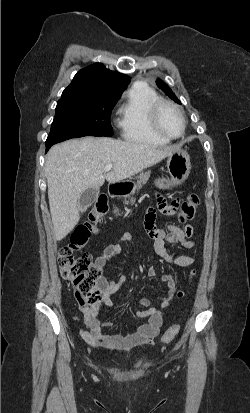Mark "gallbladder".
<instances>
[{
    "label": "gallbladder",
    "mask_w": 250,
    "mask_h": 413,
    "mask_svg": "<svg viewBox=\"0 0 250 413\" xmlns=\"http://www.w3.org/2000/svg\"><path fill=\"white\" fill-rule=\"evenodd\" d=\"M98 188H88L80 196L78 201L79 209L83 212L91 206L98 198Z\"/></svg>",
    "instance_id": "gallbladder-1"
}]
</instances>
